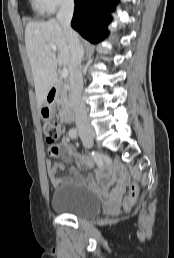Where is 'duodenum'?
<instances>
[{"label": "duodenum", "instance_id": "1", "mask_svg": "<svg viewBox=\"0 0 174 258\" xmlns=\"http://www.w3.org/2000/svg\"><path fill=\"white\" fill-rule=\"evenodd\" d=\"M59 94V86L54 85L49 88L47 92V99L50 105H54L56 102V97ZM63 120L66 123H71L74 120V110L71 107H68L63 112Z\"/></svg>", "mask_w": 174, "mask_h": 258}]
</instances>
